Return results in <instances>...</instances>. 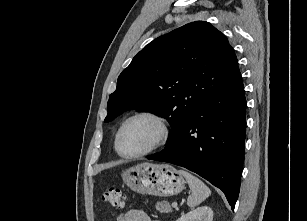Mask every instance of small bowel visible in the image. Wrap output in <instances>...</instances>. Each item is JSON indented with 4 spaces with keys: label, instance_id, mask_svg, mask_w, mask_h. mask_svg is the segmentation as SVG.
Listing matches in <instances>:
<instances>
[{
    "label": "small bowel",
    "instance_id": "obj_1",
    "mask_svg": "<svg viewBox=\"0 0 307 221\" xmlns=\"http://www.w3.org/2000/svg\"><path fill=\"white\" fill-rule=\"evenodd\" d=\"M116 221H158L148 216L144 211L132 209L125 213H113Z\"/></svg>",
    "mask_w": 307,
    "mask_h": 221
}]
</instances>
